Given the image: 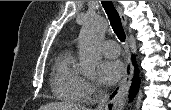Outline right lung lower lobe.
I'll return each instance as SVG.
<instances>
[{"label": "right lung lower lobe", "mask_w": 171, "mask_h": 110, "mask_svg": "<svg viewBox=\"0 0 171 110\" xmlns=\"http://www.w3.org/2000/svg\"><path fill=\"white\" fill-rule=\"evenodd\" d=\"M132 61H133V65H135L136 64L135 56H132ZM139 83H140V81H139V77H138V71L135 70L134 71V77L132 79V84H131V87H130V92H129L130 100H132L135 97V95H136V93H137V91L139 89ZM116 93H117V90L113 93L112 97Z\"/></svg>", "instance_id": "obj_1"}]
</instances>
